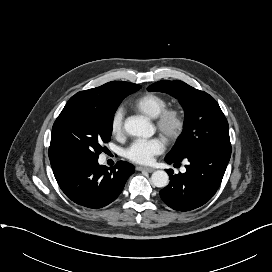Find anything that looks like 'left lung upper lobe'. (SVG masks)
<instances>
[{
  "instance_id": "left-lung-upper-lobe-1",
  "label": "left lung upper lobe",
  "mask_w": 272,
  "mask_h": 272,
  "mask_svg": "<svg viewBox=\"0 0 272 272\" xmlns=\"http://www.w3.org/2000/svg\"><path fill=\"white\" fill-rule=\"evenodd\" d=\"M147 89L177 98L185 111L183 131L166 157L181 161L205 148H231L226 117L209 94L177 80H162Z\"/></svg>"
}]
</instances>
